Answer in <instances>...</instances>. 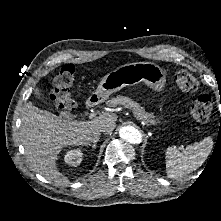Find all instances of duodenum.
I'll return each instance as SVG.
<instances>
[{
    "label": "duodenum",
    "mask_w": 221,
    "mask_h": 221,
    "mask_svg": "<svg viewBox=\"0 0 221 221\" xmlns=\"http://www.w3.org/2000/svg\"><path fill=\"white\" fill-rule=\"evenodd\" d=\"M96 102H97L96 98H93V97L89 98L85 103V108L89 109V108L93 107L96 104Z\"/></svg>",
    "instance_id": "obj_1"
}]
</instances>
